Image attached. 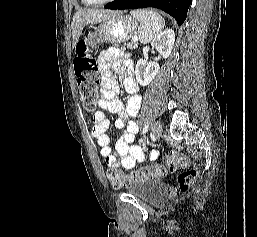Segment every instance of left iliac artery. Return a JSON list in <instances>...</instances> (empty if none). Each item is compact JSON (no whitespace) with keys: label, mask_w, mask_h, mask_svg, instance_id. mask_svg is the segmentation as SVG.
<instances>
[{"label":"left iliac artery","mask_w":257,"mask_h":237,"mask_svg":"<svg viewBox=\"0 0 257 237\" xmlns=\"http://www.w3.org/2000/svg\"><path fill=\"white\" fill-rule=\"evenodd\" d=\"M148 127H149L148 124H146V125L144 126V128H143V130H142V133H143V134H145V133L148 131Z\"/></svg>","instance_id":"obj_1"}]
</instances>
